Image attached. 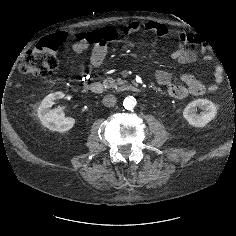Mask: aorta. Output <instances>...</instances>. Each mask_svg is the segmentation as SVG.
I'll use <instances>...</instances> for the list:
<instances>
[{"label":"aorta","mask_w":236,"mask_h":236,"mask_svg":"<svg viewBox=\"0 0 236 236\" xmlns=\"http://www.w3.org/2000/svg\"><path fill=\"white\" fill-rule=\"evenodd\" d=\"M123 106L126 110H132L136 106V99L132 96H128L123 101Z\"/></svg>","instance_id":"obj_1"}]
</instances>
